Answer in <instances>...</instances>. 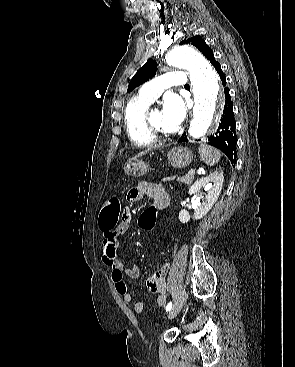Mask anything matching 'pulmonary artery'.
<instances>
[{
	"mask_svg": "<svg viewBox=\"0 0 295 367\" xmlns=\"http://www.w3.org/2000/svg\"><path fill=\"white\" fill-rule=\"evenodd\" d=\"M186 83L187 77L183 71H170L144 84L139 90V97L152 102L165 89L171 86H185Z\"/></svg>",
	"mask_w": 295,
	"mask_h": 367,
	"instance_id": "obj_1",
	"label": "pulmonary artery"
}]
</instances>
